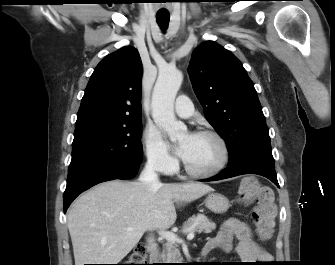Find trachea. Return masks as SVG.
I'll list each match as a JSON object with an SVG mask.
<instances>
[{
    "instance_id": "3493384b",
    "label": "trachea",
    "mask_w": 335,
    "mask_h": 265,
    "mask_svg": "<svg viewBox=\"0 0 335 265\" xmlns=\"http://www.w3.org/2000/svg\"><path fill=\"white\" fill-rule=\"evenodd\" d=\"M169 20H170V14H156V21L157 24L159 25V27L165 31L168 27L169 24Z\"/></svg>"
}]
</instances>
